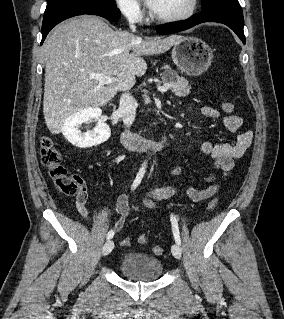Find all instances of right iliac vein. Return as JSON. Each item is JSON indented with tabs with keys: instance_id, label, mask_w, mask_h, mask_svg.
<instances>
[{
	"instance_id": "right-iliac-vein-1",
	"label": "right iliac vein",
	"mask_w": 284,
	"mask_h": 319,
	"mask_svg": "<svg viewBox=\"0 0 284 319\" xmlns=\"http://www.w3.org/2000/svg\"><path fill=\"white\" fill-rule=\"evenodd\" d=\"M114 248V242L112 240L107 241L104 246H103V250H102V254L104 256L108 255Z\"/></svg>"
}]
</instances>
